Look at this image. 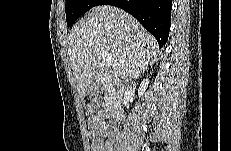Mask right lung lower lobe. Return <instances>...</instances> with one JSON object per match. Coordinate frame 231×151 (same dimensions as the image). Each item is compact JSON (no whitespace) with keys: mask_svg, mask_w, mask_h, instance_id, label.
<instances>
[{"mask_svg":"<svg viewBox=\"0 0 231 151\" xmlns=\"http://www.w3.org/2000/svg\"><path fill=\"white\" fill-rule=\"evenodd\" d=\"M101 5L116 6L130 13L156 38L160 47L166 44L172 0H103Z\"/></svg>","mask_w":231,"mask_h":151,"instance_id":"1","label":"right lung lower lobe"}]
</instances>
